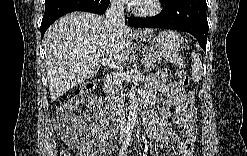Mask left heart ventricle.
<instances>
[{
    "instance_id": "b2bd125f",
    "label": "left heart ventricle",
    "mask_w": 247,
    "mask_h": 156,
    "mask_svg": "<svg viewBox=\"0 0 247 156\" xmlns=\"http://www.w3.org/2000/svg\"><path fill=\"white\" fill-rule=\"evenodd\" d=\"M145 4H147V1H145V2L143 3V5H145Z\"/></svg>"
}]
</instances>
